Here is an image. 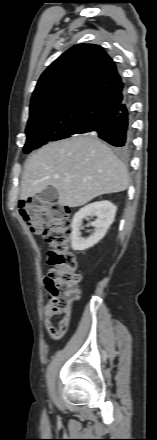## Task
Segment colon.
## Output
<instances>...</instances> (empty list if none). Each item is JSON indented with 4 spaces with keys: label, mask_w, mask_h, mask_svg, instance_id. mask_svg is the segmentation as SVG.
I'll return each mask as SVG.
<instances>
[{
    "label": "colon",
    "mask_w": 157,
    "mask_h": 440,
    "mask_svg": "<svg viewBox=\"0 0 157 440\" xmlns=\"http://www.w3.org/2000/svg\"><path fill=\"white\" fill-rule=\"evenodd\" d=\"M20 215L34 234L49 244L46 277L49 307L55 317L70 318L71 306L77 299L81 280L79 264L70 243V210L58 203L38 197L20 202Z\"/></svg>",
    "instance_id": "colon-1"
}]
</instances>
